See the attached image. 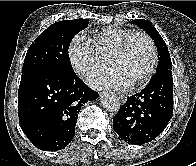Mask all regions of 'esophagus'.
Wrapping results in <instances>:
<instances>
[{
    "label": "esophagus",
    "instance_id": "esophagus-1",
    "mask_svg": "<svg viewBox=\"0 0 196 166\" xmlns=\"http://www.w3.org/2000/svg\"><path fill=\"white\" fill-rule=\"evenodd\" d=\"M119 100H120L121 103H125L127 98H126L125 95H119Z\"/></svg>",
    "mask_w": 196,
    "mask_h": 166
}]
</instances>
